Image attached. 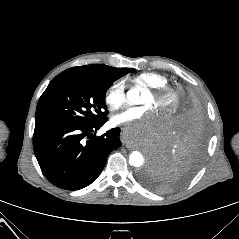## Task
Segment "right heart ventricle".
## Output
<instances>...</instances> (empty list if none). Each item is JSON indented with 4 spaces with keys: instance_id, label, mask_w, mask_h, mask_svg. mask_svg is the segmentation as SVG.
Returning a JSON list of instances; mask_svg holds the SVG:
<instances>
[{
    "instance_id": "1",
    "label": "right heart ventricle",
    "mask_w": 239,
    "mask_h": 239,
    "mask_svg": "<svg viewBox=\"0 0 239 239\" xmlns=\"http://www.w3.org/2000/svg\"><path fill=\"white\" fill-rule=\"evenodd\" d=\"M132 82L135 85H141L147 88H160L168 84V79L159 73L143 72L135 75L132 78Z\"/></svg>"
}]
</instances>
